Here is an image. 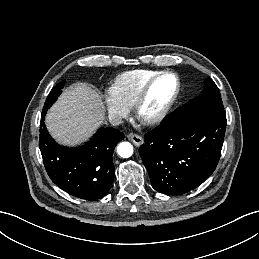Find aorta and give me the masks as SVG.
Segmentation results:
<instances>
[{
	"mask_svg": "<svg viewBox=\"0 0 259 259\" xmlns=\"http://www.w3.org/2000/svg\"><path fill=\"white\" fill-rule=\"evenodd\" d=\"M117 153L120 157L128 158L133 154V146L129 142H121L117 147Z\"/></svg>",
	"mask_w": 259,
	"mask_h": 259,
	"instance_id": "obj_1",
	"label": "aorta"
}]
</instances>
